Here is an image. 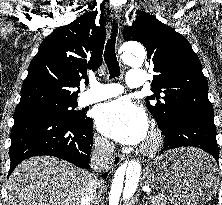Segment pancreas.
<instances>
[{
  "instance_id": "pancreas-1",
  "label": "pancreas",
  "mask_w": 222,
  "mask_h": 205,
  "mask_svg": "<svg viewBox=\"0 0 222 205\" xmlns=\"http://www.w3.org/2000/svg\"><path fill=\"white\" fill-rule=\"evenodd\" d=\"M152 205H168V202L166 199H164L162 196H153L151 198Z\"/></svg>"
}]
</instances>
